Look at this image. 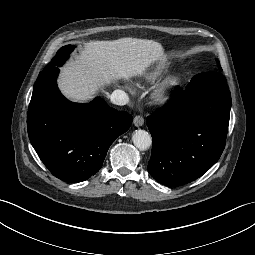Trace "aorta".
<instances>
[{
    "label": "aorta",
    "mask_w": 255,
    "mask_h": 255,
    "mask_svg": "<svg viewBox=\"0 0 255 255\" xmlns=\"http://www.w3.org/2000/svg\"><path fill=\"white\" fill-rule=\"evenodd\" d=\"M132 141L134 145L140 150H147L152 144L150 134L145 130H136L132 134Z\"/></svg>",
    "instance_id": "aorta-1"
}]
</instances>
